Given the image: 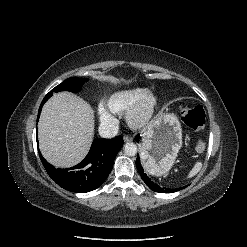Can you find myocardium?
Masks as SVG:
<instances>
[{"label": "myocardium", "instance_id": "myocardium-1", "mask_svg": "<svg viewBox=\"0 0 247 247\" xmlns=\"http://www.w3.org/2000/svg\"><path fill=\"white\" fill-rule=\"evenodd\" d=\"M158 106V97L152 92H147L127 110L125 114L127 124L133 129L147 126L153 119Z\"/></svg>", "mask_w": 247, "mask_h": 247}]
</instances>
